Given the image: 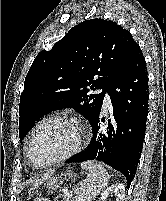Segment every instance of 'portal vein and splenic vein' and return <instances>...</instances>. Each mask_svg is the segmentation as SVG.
<instances>
[{
    "instance_id": "obj_1",
    "label": "portal vein and splenic vein",
    "mask_w": 166,
    "mask_h": 201,
    "mask_svg": "<svg viewBox=\"0 0 166 201\" xmlns=\"http://www.w3.org/2000/svg\"><path fill=\"white\" fill-rule=\"evenodd\" d=\"M64 196H65V198H68L70 196V194L68 192H64Z\"/></svg>"
}]
</instances>
